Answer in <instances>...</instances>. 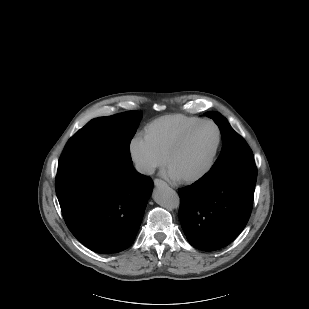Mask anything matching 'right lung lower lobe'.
Returning a JSON list of instances; mask_svg holds the SVG:
<instances>
[{
    "label": "right lung lower lobe",
    "instance_id": "obj_1",
    "mask_svg": "<svg viewBox=\"0 0 309 309\" xmlns=\"http://www.w3.org/2000/svg\"><path fill=\"white\" fill-rule=\"evenodd\" d=\"M152 186L131 161L99 156L56 181V193L72 234L92 251L106 254L131 246Z\"/></svg>",
    "mask_w": 309,
    "mask_h": 309
}]
</instances>
